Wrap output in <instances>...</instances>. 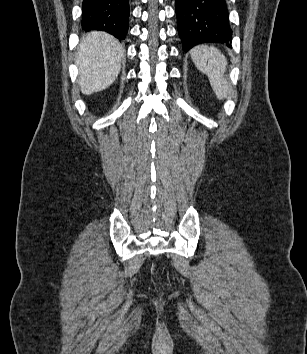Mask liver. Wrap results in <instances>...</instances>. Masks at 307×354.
<instances>
[{
    "mask_svg": "<svg viewBox=\"0 0 307 354\" xmlns=\"http://www.w3.org/2000/svg\"><path fill=\"white\" fill-rule=\"evenodd\" d=\"M123 46L112 35L93 31L83 36L76 55L79 86L85 95L108 88L118 77Z\"/></svg>",
    "mask_w": 307,
    "mask_h": 354,
    "instance_id": "1",
    "label": "liver"
}]
</instances>
